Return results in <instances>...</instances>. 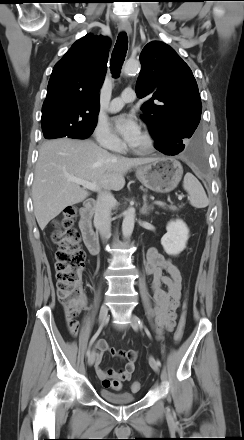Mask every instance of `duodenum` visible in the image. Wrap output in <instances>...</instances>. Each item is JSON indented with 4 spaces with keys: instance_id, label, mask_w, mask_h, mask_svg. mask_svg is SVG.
<instances>
[{
    "instance_id": "1",
    "label": "duodenum",
    "mask_w": 244,
    "mask_h": 440,
    "mask_svg": "<svg viewBox=\"0 0 244 440\" xmlns=\"http://www.w3.org/2000/svg\"><path fill=\"white\" fill-rule=\"evenodd\" d=\"M95 205V200H87L80 210L79 221V228L83 241L92 255H96L99 252V238L92 228V217L94 214Z\"/></svg>"
}]
</instances>
